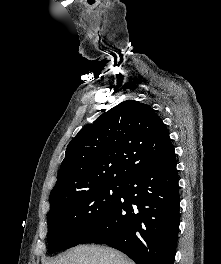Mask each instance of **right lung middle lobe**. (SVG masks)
Segmentation results:
<instances>
[{
	"instance_id": "obj_1",
	"label": "right lung middle lobe",
	"mask_w": 221,
	"mask_h": 264,
	"mask_svg": "<svg viewBox=\"0 0 221 264\" xmlns=\"http://www.w3.org/2000/svg\"><path fill=\"white\" fill-rule=\"evenodd\" d=\"M123 182L108 183L67 197L47 215L49 253L78 245L117 204Z\"/></svg>"
}]
</instances>
